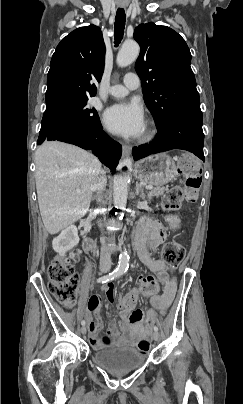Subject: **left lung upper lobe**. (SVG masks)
I'll return each instance as SVG.
<instances>
[{
	"label": "left lung upper lobe",
	"mask_w": 243,
	"mask_h": 404,
	"mask_svg": "<svg viewBox=\"0 0 243 404\" xmlns=\"http://www.w3.org/2000/svg\"><path fill=\"white\" fill-rule=\"evenodd\" d=\"M134 39L141 48L135 70L156 126L175 112L201 111L191 53L184 39L173 29L152 22L136 27Z\"/></svg>",
	"instance_id": "obj_1"
}]
</instances>
